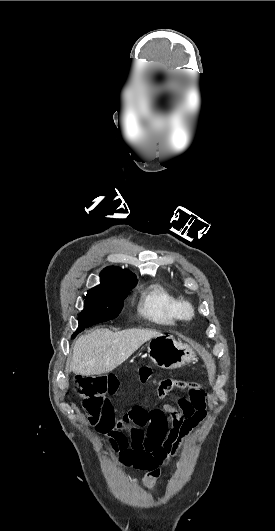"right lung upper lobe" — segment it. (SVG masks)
<instances>
[{
    "label": "right lung upper lobe",
    "instance_id": "1",
    "mask_svg": "<svg viewBox=\"0 0 275 531\" xmlns=\"http://www.w3.org/2000/svg\"><path fill=\"white\" fill-rule=\"evenodd\" d=\"M100 277V285H126L131 284L136 279L135 275L130 271L116 266L105 268L101 272Z\"/></svg>",
    "mask_w": 275,
    "mask_h": 531
}]
</instances>
